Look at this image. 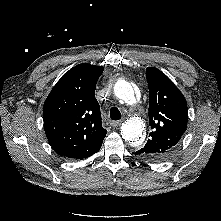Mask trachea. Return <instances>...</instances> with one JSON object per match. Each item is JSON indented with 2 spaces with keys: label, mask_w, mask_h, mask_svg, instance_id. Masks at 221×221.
<instances>
[{
  "label": "trachea",
  "mask_w": 221,
  "mask_h": 221,
  "mask_svg": "<svg viewBox=\"0 0 221 221\" xmlns=\"http://www.w3.org/2000/svg\"><path fill=\"white\" fill-rule=\"evenodd\" d=\"M110 117L112 120H120L121 119V113L118 108L112 107L110 109Z\"/></svg>",
  "instance_id": "1"
}]
</instances>
